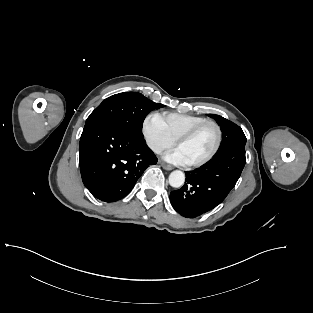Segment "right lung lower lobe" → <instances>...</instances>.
<instances>
[{"label": "right lung lower lobe", "instance_id": "98d812e1", "mask_svg": "<svg viewBox=\"0 0 313 313\" xmlns=\"http://www.w3.org/2000/svg\"><path fill=\"white\" fill-rule=\"evenodd\" d=\"M79 160L84 185L105 202L124 198L145 169L157 163L144 137L109 122L84 128Z\"/></svg>", "mask_w": 313, "mask_h": 313}]
</instances>
